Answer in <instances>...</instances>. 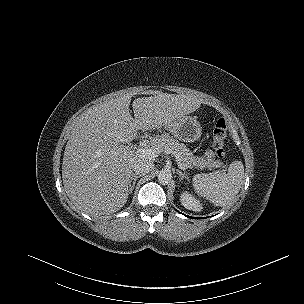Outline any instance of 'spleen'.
Masks as SVG:
<instances>
[{
	"mask_svg": "<svg viewBox=\"0 0 304 304\" xmlns=\"http://www.w3.org/2000/svg\"><path fill=\"white\" fill-rule=\"evenodd\" d=\"M244 181V165L233 161L227 173L217 171L210 174H197L193 177L196 193L216 206L230 204L239 193Z\"/></svg>",
	"mask_w": 304,
	"mask_h": 304,
	"instance_id": "3e777b00",
	"label": "spleen"
}]
</instances>
